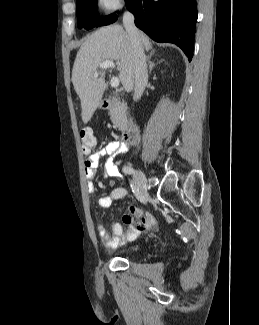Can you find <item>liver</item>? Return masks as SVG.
Returning <instances> with one entry per match:
<instances>
[{
  "label": "liver",
  "mask_w": 259,
  "mask_h": 325,
  "mask_svg": "<svg viewBox=\"0 0 259 325\" xmlns=\"http://www.w3.org/2000/svg\"><path fill=\"white\" fill-rule=\"evenodd\" d=\"M140 34L142 47L152 49L150 39ZM115 60L119 78L127 92L134 88L132 66V43L120 25L102 27L89 35L81 45L72 70V83L81 101L82 121L87 124L99 107L106 88L104 77L94 78L98 67L104 61Z\"/></svg>",
  "instance_id": "6515ba94"
}]
</instances>
